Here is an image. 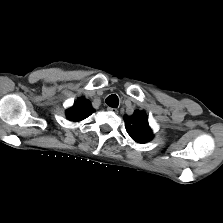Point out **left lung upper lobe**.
<instances>
[{"mask_svg":"<svg viewBox=\"0 0 223 223\" xmlns=\"http://www.w3.org/2000/svg\"><path fill=\"white\" fill-rule=\"evenodd\" d=\"M126 131L138 143H146L152 139L153 134L148 125L147 116L142 111H135L133 116H125Z\"/></svg>","mask_w":223,"mask_h":223,"instance_id":"5c2ea615","label":"left lung upper lobe"}]
</instances>
